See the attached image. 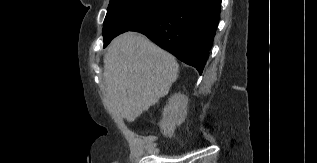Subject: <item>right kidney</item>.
Masks as SVG:
<instances>
[{
    "instance_id": "right-kidney-1",
    "label": "right kidney",
    "mask_w": 317,
    "mask_h": 163,
    "mask_svg": "<svg viewBox=\"0 0 317 163\" xmlns=\"http://www.w3.org/2000/svg\"><path fill=\"white\" fill-rule=\"evenodd\" d=\"M188 98L184 94H174L163 110L160 129L164 136L172 137L176 126H180L187 116Z\"/></svg>"
}]
</instances>
